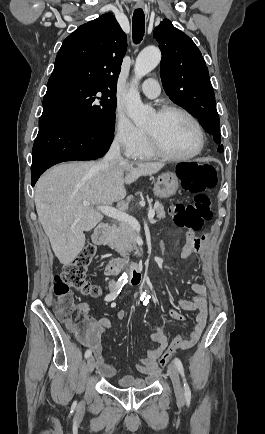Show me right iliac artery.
I'll return each mask as SVG.
<instances>
[{"mask_svg":"<svg viewBox=\"0 0 265 434\" xmlns=\"http://www.w3.org/2000/svg\"><path fill=\"white\" fill-rule=\"evenodd\" d=\"M124 284H125L124 281H117L114 290L111 293L107 294L104 300L107 302L114 300L118 296V294L121 292ZM91 354H92V351L90 349L86 350L85 358L90 357Z\"/></svg>","mask_w":265,"mask_h":434,"instance_id":"right-iliac-artery-1","label":"right iliac artery"}]
</instances>
